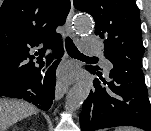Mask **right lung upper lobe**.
Returning a JSON list of instances; mask_svg holds the SVG:
<instances>
[{
  "label": "right lung upper lobe",
  "mask_w": 151,
  "mask_h": 131,
  "mask_svg": "<svg viewBox=\"0 0 151 131\" xmlns=\"http://www.w3.org/2000/svg\"><path fill=\"white\" fill-rule=\"evenodd\" d=\"M70 0H4L0 8V90L33 75L42 56L60 44L56 28L65 23ZM40 68L30 51L38 46Z\"/></svg>",
  "instance_id": "cb5924a9"
}]
</instances>
